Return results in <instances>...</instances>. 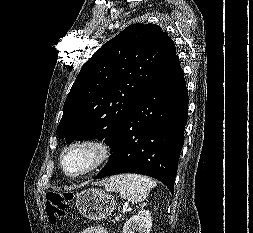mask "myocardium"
Instances as JSON below:
<instances>
[{
	"label": "myocardium",
	"instance_id": "1",
	"mask_svg": "<svg viewBox=\"0 0 253 233\" xmlns=\"http://www.w3.org/2000/svg\"><path fill=\"white\" fill-rule=\"evenodd\" d=\"M87 150L91 155L90 163L79 171H69L66 167L67 156L75 150ZM113 156V147L105 139L92 137L80 139L68 144L60 153L59 165L63 174L69 178H79L88 175L106 164Z\"/></svg>",
	"mask_w": 253,
	"mask_h": 233
}]
</instances>
